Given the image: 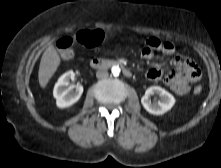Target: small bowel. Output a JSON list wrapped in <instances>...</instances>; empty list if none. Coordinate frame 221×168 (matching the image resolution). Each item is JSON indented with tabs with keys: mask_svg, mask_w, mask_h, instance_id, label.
I'll return each mask as SVG.
<instances>
[{
	"mask_svg": "<svg viewBox=\"0 0 221 168\" xmlns=\"http://www.w3.org/2000/svg\"><path fill=\"white\" fill-rule=\"evenodd\" d=\"M164 47L160 50L167 56L175 55V47L170 42L163 43ZM154 49L144 46L141 52L142 58L146 60L152 59L154 56ZM172 63L175 67L168 74H164L160 67H153L148 70L146 76L149 80H162L174 93L184 95L189 92V82L196 81L199 76V71L195 64L188 58L180 55L174 56Z\"/></svg>",
	"mask_w": 221,
	"mask_h": 168,
	"instance_id": "1",
	"label": "small bowel"
}]
</instances>
